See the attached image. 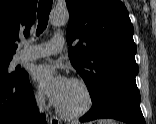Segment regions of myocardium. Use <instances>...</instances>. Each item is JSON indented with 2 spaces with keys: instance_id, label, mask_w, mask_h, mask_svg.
I'll return each instance as SVG.
<instances>
[{
  "instance_id": "obj_1",
  "label": "myocardium",
  "mask_w": 156,
  "mask_h": 124,
  "mask_svg": "<svg viewBox=\"0 0 156 124\" xmlns=\"http://www.w3.org/2000/svg\"><path fill=\"white\" fill-rule=\"evenodd\" d=\"M71 82L79 86L85 93V97H86L85 105L76 112H67L63 110L58 104H56V111L64 119L77 120L86 116L93 110L95 105V97L92 89L85 81L78 78H72Z\"/></svg>"
}]
</instances>
